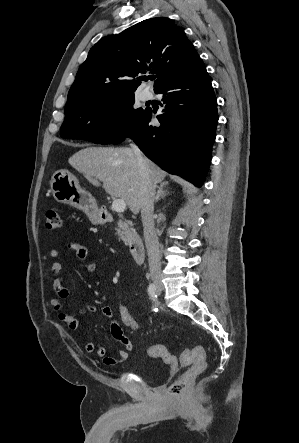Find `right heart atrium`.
I'll use <instances>...</instances> for the list:
<instances>
[{
	"instance_id": "obj_1",
	"label": "right heart atrium",
	"mask_w": 299,
	"mask_h": 443,
	"mask_svg": "<svg viewBox=\"0 0 299 443\" xmlns=\"http://www.w3.org/2000/svg\"><path fill=\"white\" fill-rule=\"evenodd\" d=\"M119 123V114L117 109H108L103 115V124L107 130L114 129Z\"/></svg>"
}]
</instances>
